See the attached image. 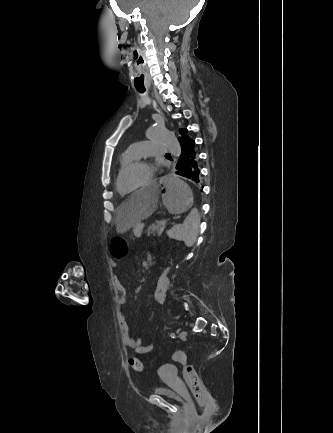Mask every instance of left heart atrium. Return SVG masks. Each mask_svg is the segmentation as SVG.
<instances>
[{"label":"left heart atrium","instance_id":"39dd6f15","mask_svg":"<svg viewBox=\"0 0 333 433\" xmlns=\"http://www.w3.org/2000/svg\"><path fill=\"white\" fill-rule=\"evenodd\" d=\"M153 171H154V167H151L150 176L152 175Z\"/></svg>","mask_w":333,"mask_h":433}]
</instances>
